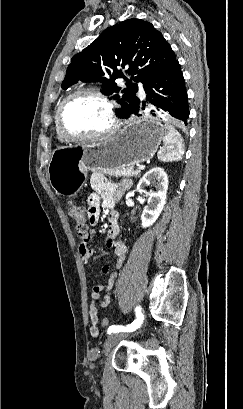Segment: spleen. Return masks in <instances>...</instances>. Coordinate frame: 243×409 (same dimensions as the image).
Listing matches in <instances>:
<instances>
[{"label": "spleen", "instance_id": "spleen-1", "mask_svg": "<svg viewBox=\"0 0 243 409\" xmlns=\"http://www.w3.org/2000/svg\"><path fill=\"white\" fill-rule=\"evenodd\" d=\"M164 129V146L158 152V159L163 162L179 161L184 154L183 139L170 123H166Z\"/></svg>", "mask_w": 243, "mask_h": 409}]
</instances>
